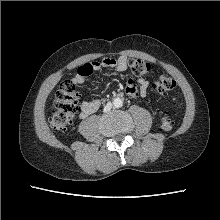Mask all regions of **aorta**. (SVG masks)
Here are the masks:
<instances>
[{
    "label": "aorta",
    "instance_id": "762f6f07",
    "mask_svg": "<svg viewBox=\"0 0 220 220\" xmlns=\"http://www.w3.org/2000/svg\"><path fill=\"white\" fill-rule=\"evenodd\" d=\"M122 105H123L122 99H120V98H115V99L113 100V106H114V107L120 108V107H122Z\"/></svg>",
    "mask_w": 220,
    "mask_h": 220
}]
</instances>
